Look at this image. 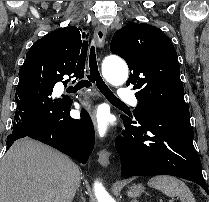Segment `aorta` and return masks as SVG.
<instances>
[{
    "instance_id": "obj_1",
    "label": "aorta",
    "mask_w": 209,
    "mask_h": 202,
    "mask_svg": "<svg viewBox=\"0 0 209 202\" xmlns=\"http://www.w3.org/2000/svg\"><path fill=\"white\" fill-rule=\"evenodd\" d=\"M128 67L124 61L115 57H107L103 64V74L106 80L112 85L119 86L126 82L128 78ZM94 193L97 202H115L106 191L103 185L96 181Z\"/></svg>"
}]
</instances>
